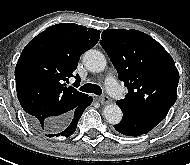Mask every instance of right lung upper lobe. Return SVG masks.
<instances>
[{
  "instance_id": "obj_1",
  "label": "right lung upper lobe",
  "mask_w": 190,
  "mask_h": 165,
  "mask_svg": "<svg viewBox=\"0 0 190 165\" xmlns=\"http://www.w3.org/2000/svg\"><path fill=\"white\" fill-rule=\"evenodd\" d=\"M100 31L73 23L56 24L34 37L15 68L18 100L39 131L63 126L89 96L67 87L80 55L98 42ZM80 81L78 75L75 76Z\"/></svg>"
}]
</instances>
